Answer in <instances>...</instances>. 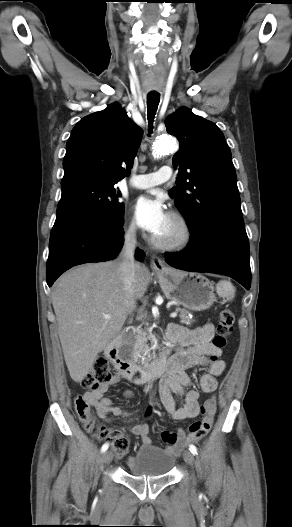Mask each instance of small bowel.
Masks as SVG:
<instances>
[{
    "mask_svg": "<svg viewBox=\"0 0 292 527\" xmlns=\"http://www.w3.org/2000/svg\"><path fill=\"white\" fill-rule=\"evenodd\" d=\"M213 336L214 326L212 324H205L194 329L172 324L167 330L168 341L178 344L179 349L168 358L167 371L161 378L160 394L162 403L174 420L194 418L199 414L203 416L201 422H195L190 425L189 434H186L181 429L174 432H160V439L170 444L166 449L173 455L179 454L188 444L201 439L211 428L216 411V396L213 395L201 404L199 402V392L196 388L186 390L190 386V379L185 370L197 365L206 366L207 372L200 377L198 387L205 393H214L216 391L218 386L217 377L224 372L226 364L218 359L221 355V350L212 344L211 339ZM209 356H215L217 359L209 361ZM123 377L121 372H117L98 389L87 391L84 394V398L96 409L98 416L106 422L110 421V414L114 416L129 415L120 408L114 407L112 400L104 396L107 390L111 386L116 385ZM172 392L183 396V403L180 406L176 405L173 400ZM125 396L131 397L132 392L126 391ZM129 431L133 435L139 436L144 444H152L147 424H136L129 427Z\"/></svg>",
    "mask_w": 292,
    "mask_h": 527,
    "instance_id": "1",
    "label": "small bowel"
}]
</instances>
